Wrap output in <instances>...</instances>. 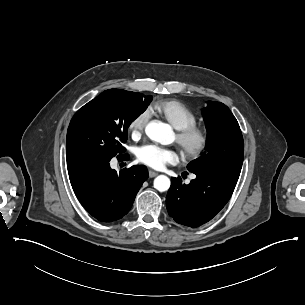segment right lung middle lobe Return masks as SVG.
Masks as SVG:
<instances>
[{"label":"right lung middle lobe","instance_id":"dd1d6c3e","mask_svg":"<svg viewBox=\"0 0 305 305\" xmlns=\"http://www.w3.org/2000/svg\"><path fill=\"white\" fill-rule=\"evenodd\" d=\"M152 96L110 89L84 105L73 116L67 131V161H110L125 151L129 125L142 114ZM120 155H118L119 157Z\"/></svg>","mask_w":305,"mask_h":305}]
</instances>
